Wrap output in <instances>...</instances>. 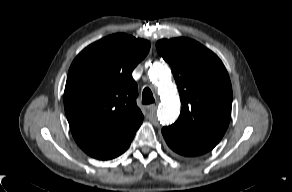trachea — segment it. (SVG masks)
<instances>
[{
	"label": "trachea",
	"instance_id": "trachea-1",
	"mask_svg": "<svg viewBox=\"0 0 292 192\" xmlns=\"http://www.w3.org/2000/svg\"><path fill=\"white\" fill-rule=\"evenodd\" d=\"M154 97H153V94L151 92V90L146 87L144 90H143V96H142V103L143 104H151V103H154Z\"/></svg>",
	"mask_w": 292,
	"mask_h": 192
}]
</instances>
